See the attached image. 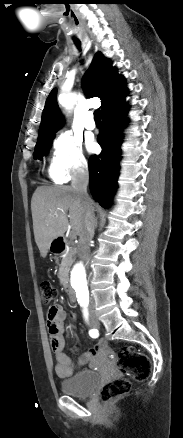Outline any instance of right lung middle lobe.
Masks as SVG:
<instances>
[{
    "label": "right lung middle lobe",
    "mask_w": 183,
    "mask_h": 438,
    "mask_svg": "<svg viewBox=\"0 0 183 438\" xmlns=\"http://www.w3.org/2000/svg\"><path fill=\"white\" fill-rule=\"evenodd\" d=\"M52 139H53L52 134L38 137L35 146V152H34V156L36 159H41L43 155H45L48 152Z\"/></svg>",
    "instance_id": "1"
}]
</instances>
